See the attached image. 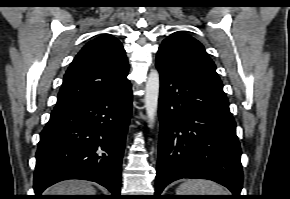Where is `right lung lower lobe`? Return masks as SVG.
Masks as SVG:
<instances>
[{
    "instance_id": "1",
    "label": "right lung lower lobe",
    "mask_w": 290,
    "mask_h": 199,
    "mask_svg": "<svg viewBox=\"0 0 290 199\" xmlns=\"http://www.w3.org/2000/svg\"><path fill=\"white\" fill-rule=\"evenodd\" d=\"M132 111V91L123 88L87 101L56 107L40 134L34 199L66 179L94 181L120 198L121 163Z\"/></svg>"
}]
</instances>
